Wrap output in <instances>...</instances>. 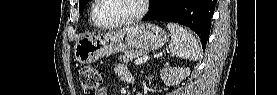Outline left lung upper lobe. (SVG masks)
<instances>
[{
	"label": "left lung upper lobe",
	"instance_id": "left-lung-upper-lobe-1",
	"mask_svg": "<svg viewBox=\"0 0 277 95\" xmlns=\"http://www.w3.org/2000/svg\"><path fill=\"white\" fill-rule=\"evenodd\" d=\"M89 2V0H79V11L80 13L83 12L84 7L86 6V4Z\"/></svg>",
	"mask_w": 277,
	"mask_h": 95
}]
</instances>
